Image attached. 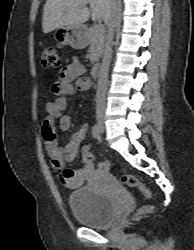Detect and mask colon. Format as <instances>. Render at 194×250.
<instances>
[{
  "instance_id": "obj_1",
  "label": "colon",
  "mask_w": 194,
  "mask_h": 250,
  "mask_svg": "<svg viewBox=\"0 0 194 250\" xmlns=\"http://www.w3.org/2000/svg\"><path fill=\"white\" fill-rule=\"evenodd\" d=\"M41 65L42 67L47 69H56L60 67L61 56L56 47L48 46L44 48ZM82 160L86 165H89L93 162L89 146H84L82 148ZM121 179L122 182L127 186L138 189L146 198H149L151 196L150 190L135 175L125 173L122 175ZM151 211L152 208L150 206H145L139 211L138 215H146Z\"/></svg>"
}]
</instances>
